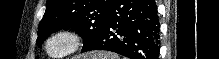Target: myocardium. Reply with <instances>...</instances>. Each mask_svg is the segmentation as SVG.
Returning <instances> with one entry per match:
<instances>
[{
	"label": "myocardium",
	"instance_id": "obj_1",
	"mask_svg": "<svg viewBox=\"0 0 219 59\" xmlns=\"http://www.w3.org/2000/svg\"><path fill=\"white\" fill-rule=\"evenodd\" d=\"M65 39L68 43L67 48L60 53H54L50 50V44L56 39ZM82 36L73 29L63 28L49 34L43 43L45 54L52 59H64L75 54L82 46Z\"/></svg>",
	"mask_w": 219,
	"mask_h": 59
}]
</instances>
